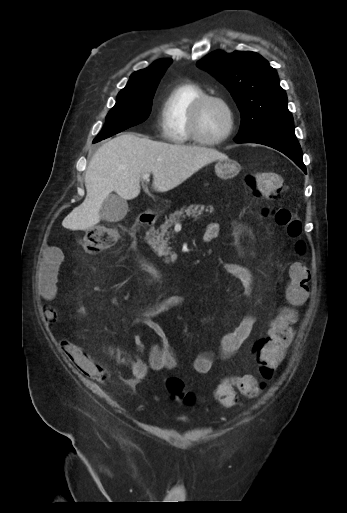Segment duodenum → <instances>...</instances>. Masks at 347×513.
<instances>
[{
  "instance_id": "obj_1",
  "label": "duodenum",
  "mask_w": 347,
  "mask_h": 513,
  "mask_svg": "<svg viewBox=\"0 0 347 513\" xmlns=\"http://www.w3.org/2000/svg\"><path fill=\"white\" fill-rule=\"evenodd\" d=\"M160 212H161L160 208H153V209H150V210L140 214L132 226V233L134 235H140V239L143 242H147L149 239V236L146 234V230H147V228H149L151 226V224L154 222V220L156 219V217L158 216V214ZM212 238H213V236L206 237V240L210 241ZM135 248H136V245L132 246V249H135Z\"/></svg>"
}]
</instances>
